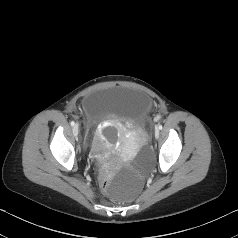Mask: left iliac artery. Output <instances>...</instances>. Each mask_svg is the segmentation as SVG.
<instances>
[{
  "label": "left iliac artery",
  "instance_id": "left-iliac-artery-1",
  "mask_svg": "<svg viewBox=\"0 0 238 238\" xmlns=\"http://www.w3.org/2000/svg\"><path fill=\"white\" fill-rule=\"evenodd\" d=\"M159 130H162V125H158L157 127Z\"/></svg>",
  "mask_w": 238,
  "mask_h": 238
}]
</instances>
